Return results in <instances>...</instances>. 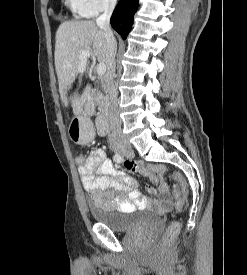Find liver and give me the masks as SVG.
Segmentation results:
<instances>
[{
  "mask_svg": "<svg viewBox=\"0 0 247 275\" xmlns=\"http://www.w3.org/2000/svg\"><path fill=\"white\" fill-rule=\"evenodd\" d=\"M55 40V68L59 92L62 101L68 107V91L78 75L86 73L89 64L86 61L83 72L78 70L81 51H90L100 64L106 65L108 71L105 33L94 21H65L58 27ZM90 89V85L87 84L82 94L74 93L70 98L75 116L82 112Z\"/></svg>",
  "mask_w": 247,
  "mask_h": 275,
  "instance_id": "liver-1",
  "label": "liver"
}]
</instances>
